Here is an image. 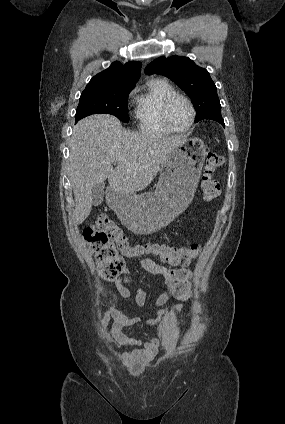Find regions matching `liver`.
<instances>
[{
  "label": "liver",
  "mask_w": 285,
  "mask_h": 424,
  "mask_svg": "<svg viewBox=\"0 0 285 424\" xmlns=\"http://www.w3.org/2000/svg\"><path fill=\"white\" fill-rule=\"evenodd\" d=\"M185 141L183 136L126 130L117 118L107 114H95L79 121L69 143V176L77 223L81 224L91 212L94 185L108 179L113 192L141 191L153 181L171 151Z\"/></svg>",
  "instance_id": "1"
}]
</instances>
